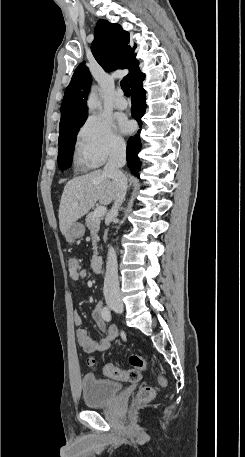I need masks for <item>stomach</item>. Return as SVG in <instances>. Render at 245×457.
I'll return each mask as SVG.
<instances>
[{
  "label": "stomach",
  "instance_id": "obj_1",
  "mask_svg": "<svg viewBox=\"0 0 245 457\" xmlns=\"http://www.w3.org/2000/svg\"><path fill=\"white\" fill-rule=\"evenodd\" d=\"M85 233V226L81 222H73L68 233H65L67 243H74L75 239H80Z\"/></svg>",
  "mask_w": 245,
  "mask_h": 457
}]
</instances>
